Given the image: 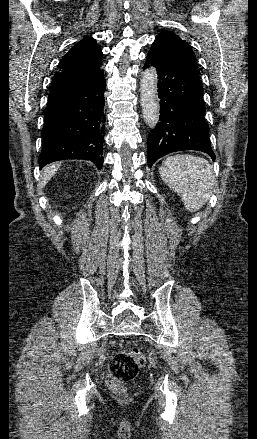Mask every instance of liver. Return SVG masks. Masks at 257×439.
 I'll use <instances>...</instances> for the list:
<instances>
[{
  "mask_svg": "<svg viewBox=\"0 0 257 439\" xmlns=\"http://www.w3.org/2000/svg\"><path fill=\"white\" fill-rule=\"evenodd\" d=\"M59 164H53V165H49L47 166L43 173H42V186H45L48 181L51 179V177L57 172L58 168H59Z\"/></svg>",
  "mask_w": 257,
  "mask_h": 439,
  "instance_id": "obj_1",
  "label": "liver"
}]
</instances>
